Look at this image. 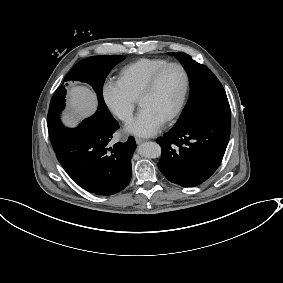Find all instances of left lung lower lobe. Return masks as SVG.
<instances>
[{
	"mask_svg": "<svg viewBox=\"0 0 283 283\" xmlns=\"http://www.w3.org/2000/svg\"><path fill=\"white\" fill-rule=\"evenodd\" d=\"M231 115L200 118L174 126L157 139L161 146L158 168L172 183L191 187L207 180L218 168L230 138Z\"/></svg>",
	"mask_w": 283,
	"mask_h": 283,
	"instance_id": "obj_1",
	"label": "left lung lower lobe"
}]
</instances>
